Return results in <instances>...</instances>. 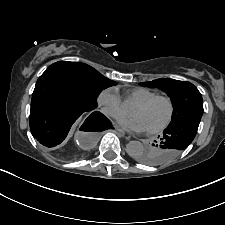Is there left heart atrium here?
Masks as SVG:
<instances>
[{"label": "left heart atrium", "instance_id": "obj_1", "mask_svg": "<svg viewBox=\"0 0 225 225\" xmlns=\"http://www.w3.org/2000/svg\"><path fill=\"white\" fill-rule=\"evenodd\" d=\"M118 121L124 128L133 132H143L147 130L145 124L138 116H122Z\"/></svg>", "mask_w": 225, "mask_h": 225}]
</instances>
